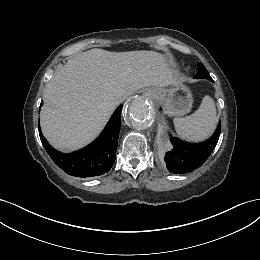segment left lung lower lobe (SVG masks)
<instances>
[{
	"label": "left lung lower lobe",
	"mask_w": 260,
	"mask_h": 260,
	"mask_svg": "<svg viewBox=\"0 0 260 260\" xmlns=\"http://www.w3.org/2000/svg\"><path fill=\"white\" fill-rule=\"evenodd\" d=\"M221 131L219 124L211 138L199 144H193L172 137L173 148L165 155L167 169L171 173L184 174L199 168L214 150Z\"/></svg>",
	"instance_id": "left-lung-lower-lobe-1"
}]
</instances>
